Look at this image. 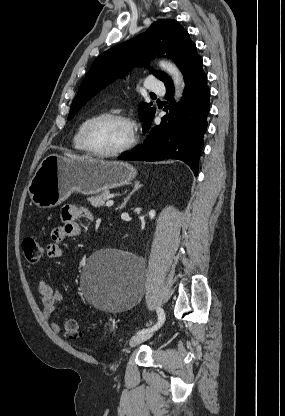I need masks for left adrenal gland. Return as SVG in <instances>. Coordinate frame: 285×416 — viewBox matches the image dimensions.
<instances>
[{"label": "left adrenal gland", "instance_id": "1", "mask_svg": "<svg viewBox=\"0 0 285 416\" xmlns=\"http://www.w3.org/2000/svg\"><path fill=\"white\" fill-rule=\"evenodd\" d=\"M139 188H142L141 182H134V188H133L131 194H129V196H127V198H125L123 204H121L120 210H122V208H124V206H126L129 198H131L132 194H134V192H137V190H139Z\"/></svg>", "mask_w": 285, "mask_h": 416}]
</instances>
